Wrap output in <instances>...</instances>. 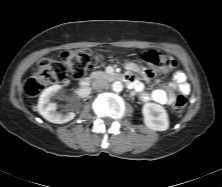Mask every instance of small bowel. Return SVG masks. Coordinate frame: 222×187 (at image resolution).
Returning <instances> with one entry per match:
<instances>
[{
    "label": "small bowel",
    "mask_w": 222,
    "mask_h": 187,
    "mask_svg": "<svg viewBox=\"0 0 222 187\" xmlns=\"http://www.w3.org/2000/svg\"><path fill=\"white\" fill-rule=\"evenodd\" d=\"M127 69L130 71L129 76H131L134 79V76L132 73L138 72V67L135 64H128ZM175 85L170 86L168 88V91L163 89H156L152 91L151 93H142L141 98L144 101H155L160 104H171L174 102L175 94L173 92V89H177L179 92L183 94H188L190 91V85L186 81V76L183 72L178 71L174 75ZM135 87L138 91L142 90L141 84H135Z\"/></svg>",
    "instance_id": "c3829d8e"
}]
</instances>
